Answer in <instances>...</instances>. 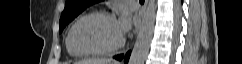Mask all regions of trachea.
I'll use <instances>...</instances> for the list:
<instances>
[{
  "mask_svg": "<svg viewBox=\"0 0 242 64\" xmlns=\"http://www.w3.org/2000/svg\"><path fill=\"white\" fill-rule=\"evenodd\" d=\"M140 2H144V0H140Z\"/></svg>",
  "mask_w": 242,
  "mask_h": 64,
  "instance_id": "3493384b",
  "label": "trachea"
}]
</instances>
